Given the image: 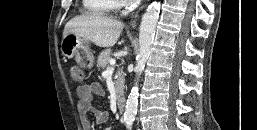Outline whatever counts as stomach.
Wrapping results in <instances>:
<instances>
[{"label": "stomach", "instance_id": "0dacf381", "mask_svg": "<svg viewBox=\"0 0 257 130\" xmlns=\"http://www.w3.org/2000/svg\"><path fill=\"white\" fill-rule=\"evenodd\" d=\"M60 49L64 57L75 58L82 66H93L94 56L89 42L78 34L71 32L63 36Z\"/></svg>", "mask_w": 257, "mask_h": 130}]
</instances>
